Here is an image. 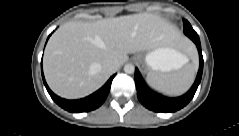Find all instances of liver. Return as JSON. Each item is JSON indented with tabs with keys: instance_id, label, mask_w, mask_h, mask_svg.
<instances>
[{
	"instance_id": "liver-1",
	"label": "liver",
	"mask_w": 239,
	"mask_h": 136,
	"mask_svg": "<svg viewBox=\"0 0 239 136\" xmlns=\"http://www.w3.org/2000/svg\"><path fill=\"white\" fill-rule=\"evenodd\" d=\"M179 30L158 15L140 13L98 20L70 21L49 39L43 69L49 87L66 99H78L98 90L113 73L107 60L119 67L128 54L159 46H183Z\"/></svg>"
}]
</instances>
